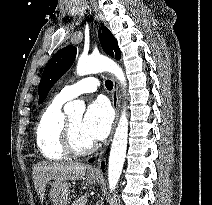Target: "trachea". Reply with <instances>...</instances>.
Segmentation results:
<instances>
[{"label":"trachea","instance_id":"3493384b","mask_svg":"<svg viewBox=\"0 0 212 205\" xmlns=\"http://www.w3.org/2000/svg\"><path fill=\"white\" fill-rule=\"evenodd\" d=\"M105 86L108 90H112L113 89V82L111 80H106Z\"/></svg>","mask_w":212,"mask_h":205}]
</instances>
